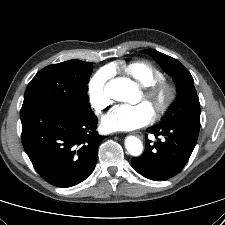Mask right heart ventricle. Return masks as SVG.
<instances>
[{"label":"right heart ventricle","mask_w":225,"mask_h":225,"mask_svg":"<svg viewBox=\"0 0 225 225\" xmlns=\"http://www.w3.org/2000/svg\"><path fill=\"white\" fill-rule=\"evenodd\" d=\"M110 69H121L141 86H147L163 79L161 70L145 60L132 61L121 67L115 66Z\"/></svg>","instance_id":"e07e8e85"}]
</instances>
